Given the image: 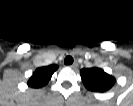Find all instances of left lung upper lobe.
<instances>
[{"label":"left lung upper lobe","mask_w":133,"mask_h":106,"mask_svg":"<svg viewBox=\"0 0 133 106\" xmlns=\"http://www.w3.org/2000/svg\"><path fill=\"white\" fill-rule=\"evenodd\" d=\"M80 75L84 86L90 91L105 92L115 83L113 76L97 67L82 69Z\"/></svg>","instance_id":"1"}]
</instances>
